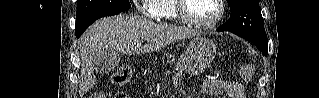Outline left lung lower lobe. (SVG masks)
<instances>
[{"label":"left lung lower lobe","instance_id":"0a47b994","mask_svg":"<svg viewBox=\"0 0 319 98\" xmlns=\"http://www.w3.org/2000/svg\"><path fill=\"white\" fill-rule=\"evenodd\" d=\"M217 31H223L221 27L217 29ZM256 47L263 53V55H267L268 52V45H260V44H255Z\"/></svg>","mask_w":319,"mask_h":98}]
</instances>
